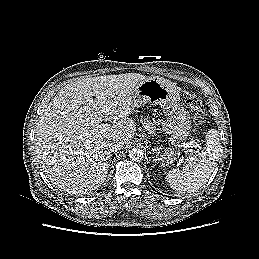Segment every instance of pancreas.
Instances as JSON below:
<instances>
[{
  "mask_svg": "<svg viewBox=\"0 0 259 259\" xmlns=\"http://www.w3.org/2000/svg\"><path fill=\"white\" fill-rule=\"evenodd\" d=\"M140 122L142 123L144 128L148 130L150 133H153L155 131V122H151L148 119L140 120Z\"/></svg>",
  "mask_w": 259,
  "mask_h": 259,
  "instance_id": "pancreas-1",
  "label": "pancreas"
}]
</instances>
